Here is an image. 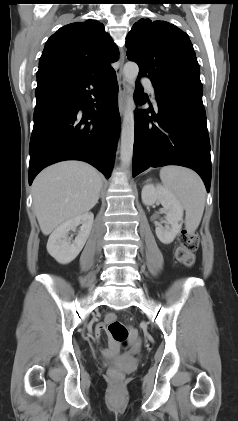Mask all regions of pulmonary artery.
<instances>
[{
    "instance_id": "e3ab8cb5",
    "label": "pulmonary artery",
    "mask_w": 238,
    "mask_h": 421,
    "mask_svg": "<svg viewBox=\"0 0 238 421\" xmlns=\"http://www.w3.org/2000/svg\"><path fill=\"white\" fill-rule=\"evenodd\" d=\"M142 83L145 86V88L148 91V93L151 95V97L153 99H155V90H154V86H153L151 80H149L147 78H143L142 79Z\"/></svg>"
}]
</instances>
